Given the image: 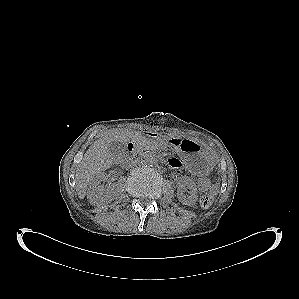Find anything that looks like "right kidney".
<instances>
[{
    "instance_id": "1",
    "label": "right kidney",
    "mask_w": 299,
    "mask_h": 299,
    "mask_svg": "<svg viewBox=\"0 0 299 299\" xmlns=\"http://www.w3.org/2000/svg\"><path fill=\"white\" fill-rule=\"evenodd\" d=\"M107 180L104 172L97 174L88 184L87 198L92 205L110 203L115 197L114 185L104 187L102 181Z\"/></svg>"
}]
</instances>
